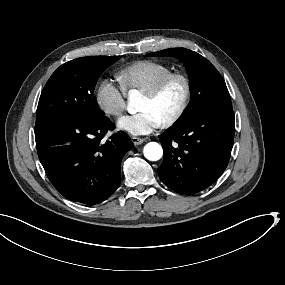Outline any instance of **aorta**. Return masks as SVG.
<instances>
[{"mask_svg":"<svg viewBox=\"0 0 285 285\" xmlns=\"http://www.w3.org/2000/svg\"><path fill=\"white\" fill-rule=\"evenodd\" d=\"M134 90L129 91V97H132ZM144 156L150 161H157L161 159L163 155V149L161 145L156 142H150L145 145L143 150Z\"/></svg>","mask_w":285,"mask_h":285,"instance_id":"obj_1","label":"aorta"}]
</instances>
